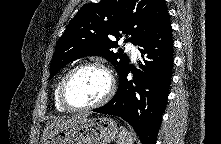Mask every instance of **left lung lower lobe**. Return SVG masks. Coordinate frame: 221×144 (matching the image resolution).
Segmentation results:
<instances>
[{
	"label": "left lung lower lobe",
	"instance_id": "left-lung-lower-lobe-1",
	"mask_svg": "<svg viewBox=\"0 0 221 144\" xmlns=\"http://www.w3.org/2000/svg\"><path fill=\"white\" fill-rule=\"evenodd\" d=\"M139 46L143 58L139 69L124 67L119 72L114 97L93 111L121 117L133 127L143 144H155L172 77L173 40L168 12ZM129 71L133 73L131 81L127 79Z\"/></svg>",
	"mask_w": 221,
	"mask_h": 144
}]
</instances>
